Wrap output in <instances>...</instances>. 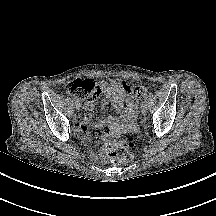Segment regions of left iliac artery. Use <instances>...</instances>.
I'll return each instance as SVG.
<instances>
[{
	"instance_id": "left-iliac-artery-1",
	"label": "left iliac artery",
	"mask_w": 216,
	"mask_h": 216,
	"mask_svg": "<svg viewBox=\"0 0 216 216\" xmlns=\"http://www.w3.org/2000/svg\"><path fill=\"white\" fill-rule=\"evenodd\" d=\"M144 101H148V97L147 96L144 97Z\"/></svg>"
}]
</instances>
